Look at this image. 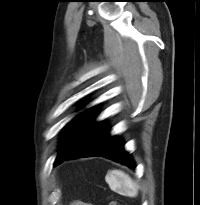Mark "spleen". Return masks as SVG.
<instances>
[{"label": "spleen", "instance_id": "1", "mask_svg": "<svg viewBox=\"0 0 200 205\" xmlns=\"http://www.w3.org/2000/svg\"><path fill=\"white\" fill-rule=\"evenodd\" d=\"M110 189L118 194L135 197L138 187L131 177L121 170H110L105 176Z\"/></svg>", "mask_w": 200, "mask_h": 205}]
</instances>
